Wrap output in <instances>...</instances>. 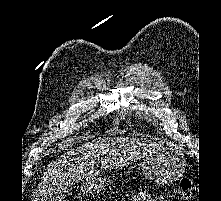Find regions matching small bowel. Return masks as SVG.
Here are the masks:
<instances>
[{"instance_id":"obj_1","label":"small bowel","mask_w":221,"mask_h":201,"mask_svg":"<svg viewBox=\"0 0 221 201\" xmlns=\"http://www.w3.org/2000/svg\"><path fill=\"white\" fill-rule=\"evenodd\" d=\"M130 201H155L148 193H138Z\"/></svg>"}]
</instances>
